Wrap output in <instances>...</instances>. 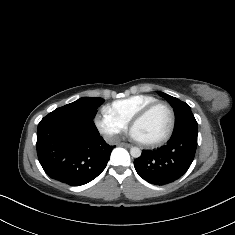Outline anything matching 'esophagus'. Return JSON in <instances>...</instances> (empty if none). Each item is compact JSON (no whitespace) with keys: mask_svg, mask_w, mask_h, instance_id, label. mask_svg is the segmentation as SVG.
Returning a JSON list of instances; mask_svg holds the SVG:
<instances>
[{"mask_svg":"<svg viewBox=\"0 0 235 235\" xmlns=\"http://www.w3.org/2000/svg\"><path fill=\"white\" fill-rule=\"evenodd\" d=\"M119 146L130 148L131 144L122 142V143H119Z\"/></svg>","mask_w":235,"mask_h":235,"instance_id":"1","label":"esophagus"}]
</instances>
